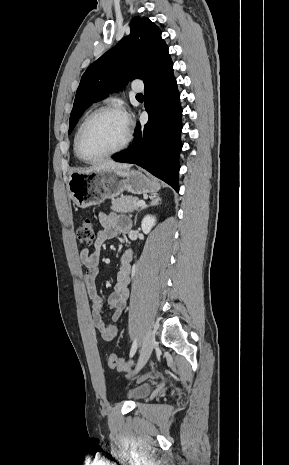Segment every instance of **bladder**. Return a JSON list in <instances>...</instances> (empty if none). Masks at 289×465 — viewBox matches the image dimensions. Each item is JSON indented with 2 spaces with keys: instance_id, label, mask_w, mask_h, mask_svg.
Masks as SVG:
<instances>
[{
  "instance_id": "bladder-1",
  "label": "bladder",
  "mask_w": 289,
  "mask_h": 465,
  "mask_svg": "<svg viewBox=\"0 0 289 465\" xmlns=\"http://www.w3.org/2000/svg\"><path fill=\"white\" fill-rule=\"evenodd\" d=\"M150 391H151V385L148 383H144V384L138 385L130 389L127 392V396L128 398L137 401V400L145 398L150 393Z\"/></svg>"
}]
</instances>
